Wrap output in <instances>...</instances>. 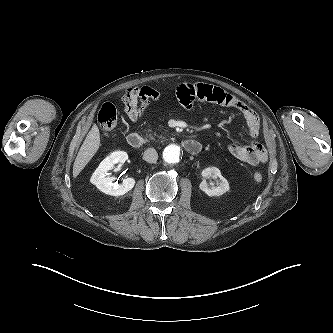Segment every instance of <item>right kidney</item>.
I'll return each instance as SVG.
<instances>
[{"instance_id": "right-kidney-1", "label": "right kidney", "mask_w": 333, "mask_h": 333, "mask_svg": "<svg viewBox=\"0 0 333 333\" xmlns=\"http://www.w3.org/2000/svg\"><path fill=\"white\" fill-rule=\"evenodd\" d=\"M128 159V155L124 151H116L106 157L93 173L90 181L100 191L112 196H121L130 191L134 185L133 178H126L122 184L113 183L114 177L107 176V172L114 167L115 164H123Z\"/></svg>"}]
</instances>
